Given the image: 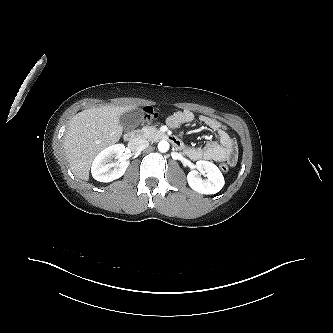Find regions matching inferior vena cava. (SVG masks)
<instances>
[{
  "label": "inferior vena cava",
  "mask_w": 333,
  "mask_h": 333,
  "mask_svg": "<svg viewBox=\"0 0 333 333\" xmlns=\"http://www.w3.org/2000/svg\"><path fill=\"white\" fill-rule=\"evenodd\" d=\"M129 146L133 151H141L149 146V142L143 138H135L130 141Z\"/></svg>",
  "instance_id": "602c4592"
}]
</instances>
